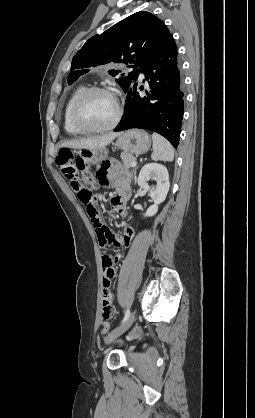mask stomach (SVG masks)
<instances>
[{"mask_svg": "<svg viewBox=\"0 0 255 418\" xmlns=\"http://www.w3.org/2000/svg\"><path fill=\"white\" fill-rule=\"evenodd\" d=\"M116 144L120 147L124 153L131 155H140L147 152L151 146V139L146 131L133 129L120 133L117 137ZM80 156L85 163L97 165L107 158V150L94 149V150H80Z\"/></svg>", "mask_w": 255, "mask_h": 418, "instance_id": "obj_1", "label": "stomach"}]
</instances>
